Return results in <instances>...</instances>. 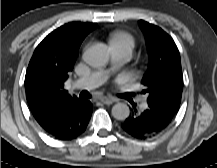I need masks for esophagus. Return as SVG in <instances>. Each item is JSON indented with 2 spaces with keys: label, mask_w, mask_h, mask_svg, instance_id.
<instances>
[{
  "label": "esophagus",
  "mask_w": 217,
  "mask_h": 168,
  "mask_svg": "<svg viewBox=\"0 0 217 168\" xmlns=\"http://www.w3.org/2000/svg\"><path fill=\"white\" fill-rule=\"evenodd\" d=\"M100 101L103 102L104 104L110 105L115 101V98L112 96H102L100 98Z\"/></svg>",
  "instance_id": "obj_1"
}]
</instances>
